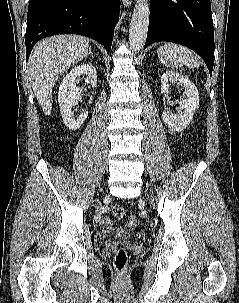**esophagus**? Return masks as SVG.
Segmentation results:
<instances>
[{
    "label": "esophagus",
    "instance_id": "1",
    "mask_svg": "<svg viewBox=\"0 0 239 303\" xmlns=\"http://www.w3.org/2000/svg\"><path fill=\"white\" fill-rule=\"evenodd\" d=\"M130 2H131L130 0H122V3H123L124 7L129 6Z\"/></svg>",
    "mask_w": 239,
    "mask_h": 303
}]
</instances>
